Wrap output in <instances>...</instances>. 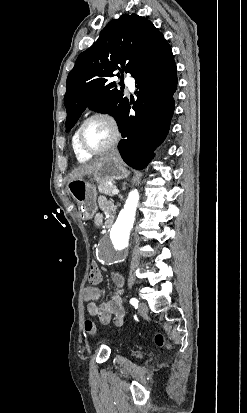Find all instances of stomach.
I'll return each mask as SVG.
<instances>
[{"label":"stomach","instance_id":"0dacf381","mask_svg":"<svg viewBox=\"0 0 247 413\" xmlns=\"http://www.w3.org/2000/svg\"><path fill=\"white\" fill-rule=\"evenodd\" d=\"M90 174L96 182H105V180H113V178H126L129 170L121 162L119 156L108 154V156H103V160L97 164L95 170ZM66 190L75 198L84 221L92 219L98 209L97 190L94 184L88 182L85 178H76V180L67 182Z\"/></svg>","mask_w":247,"mask_h":413}]
</instances>
